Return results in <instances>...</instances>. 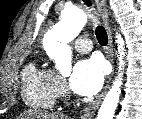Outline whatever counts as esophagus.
I'll return each mask as SVG.
<instances>
[{"label":"esophagus","mask_w":142,"mask_h":119,"mask_svg":"<svg viewBox=\"0 0 142 119\" xmlns=\"http://www.w3.org/2000/svg\"><path fill=\"white\" fill-rule=\"evenodd\" d=\"M98 11L101 15V18L104 22V26L106 28L107 34H108V47H107V57L109 60L113 63V55H114V48H113V41H112V33L109 25V13L107 9V3L105 0H95ZM113 75V72L111 76L109 77L103 91L97 96V98L91 102L84 110L83 114L80 116L81 119H91L96 110L98 109L99 105L101 104L109 86L111 77Z\"/></svg>","instance_id":"34e87169"}]
</instances>
